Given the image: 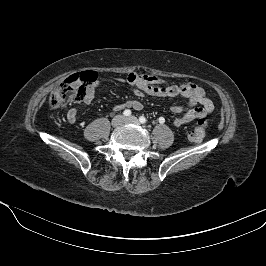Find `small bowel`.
<instances>
[{
    "mask_svg": "<svg viewBox=\"0 0 266 266\" xmlns=\"http://www.w3.org/2000/svg\"><path fill=\"white\" fill-rule=\"evenodd\" d=\"M118 82L130 86L134 94L138 97L144 95L162 96V97H183L187 99L186 105H174L171 107V112L180 114L185 110V113L180 116L173 117L172 123L176 127L186 126L196 120L205 119L214 109L212 101L207 97L204 90L192 82H183L180 84H168L167 81L157 75L131 72L124 79H117ZM99 82L95 81L87 89L84 104L89 105L95 98L96 88ZM142 103L137 99H130L123 104H117L113 107L115 111H120L124 108H132L135 110L142 109ZM78 110L71 108L67 111V119L70 123H75Z\"/></svg>",
    "mask_w": 266,
    "mask_h": 266,
    "instance_id": "small-bowel-1",
    "label": "small bowel"
}]
</instances>
